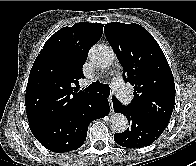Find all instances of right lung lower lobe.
Instances as JSON below:
<instances>
[{
    "instance_id": "1",
    "label": "right lung lower lobe",
    "mask_w": 196,
    "mask_h": 166,
    "mask_svg": "<svg viewBox=\"0 0 196 166\" xmlns=\"http://www.w3.org/2000/svg\"><path fill=\"white\" fill-rule=\"evenodd\" d=\"M107 98L93 94L72 111L46 121L29 124L35 138L57 153L76 150L84 144L89 123L109 114Z\"/></svg>"
}]
</instances>
